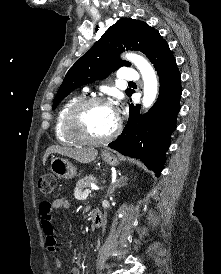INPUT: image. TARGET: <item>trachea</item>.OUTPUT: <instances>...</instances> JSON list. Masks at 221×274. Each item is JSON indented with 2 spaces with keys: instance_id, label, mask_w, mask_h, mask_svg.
<instances>
[{
  "instance_id": "3493384b",
  "label": "trachea",
  "mask_w": 221,
  "mask_h": 274,
  "mask_svg": "<svg viewBox=\"0 0 221 274\" xmlns=\"http://www.w3.org/2000/svg\"><path fill=\"white\" fill-rule=\"evenodd\" d=\"M129 84H133V82H129Z\"/></svg>"
}]
</instances>
